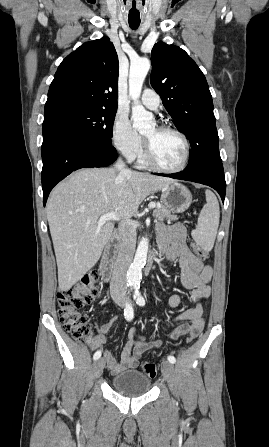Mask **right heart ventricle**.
<instances>
[{"instance_id":"e07e8e85","label":"right heart ventricle","mask_w":269,"mask_h":447,"mask_svg":"<svg viewBox=\"0 0 269 447\" xmlns=\"http://www.w3.org/2000/svg\"><path fill=\"white\" fill-rule=\"evenodd\" d=\"M138 163L142 166H147V163L145 161V156H144V146L142 145V149L137 157Z\"/></svg>"}]
</instances>
